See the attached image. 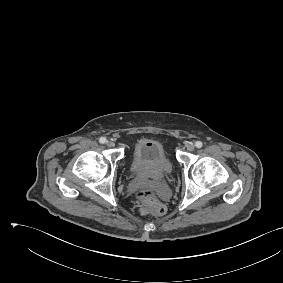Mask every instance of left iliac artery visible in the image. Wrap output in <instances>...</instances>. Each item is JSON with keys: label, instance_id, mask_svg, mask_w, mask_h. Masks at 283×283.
<instances>
[{"label": "left iliac artery", "instance_id": "obj_1", "mask_svg": "<svg viewBox=\"0 0 283 283\" xmlns=\"http://www.w3.org/2000/svg\"><path fill=\"white\" fill-rule=\"evenodd\" d=\"M195 146H196L197 148H201V147L203 146V144H202L201 141H196Z\"/></svg>", "mask_w": 283, "mask_h": 283}]
</instances>
